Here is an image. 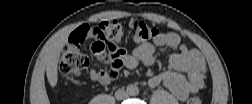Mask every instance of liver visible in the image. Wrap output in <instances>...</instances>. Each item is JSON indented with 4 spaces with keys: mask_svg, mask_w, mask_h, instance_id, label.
Here are the masks:
<instances>
[{
    "mask_svg": "<svg viewBox=\"0 0 252 104\" xmlns=\"http://www.w3.org/2000/svg\"><path fill=\"white\" fill-rule=\"evenodd\" d=\"M70 31H64L60 36L53 42L49 56L46 63V75L48 82L51 87H55L58 80V63L61 54V50L67 43Z\"/></svg>",
    "mask_w": 252,
    "mask_h": 104,
    "instance_id": "obj_1",
    "label": "liver"
}]
</instances>
